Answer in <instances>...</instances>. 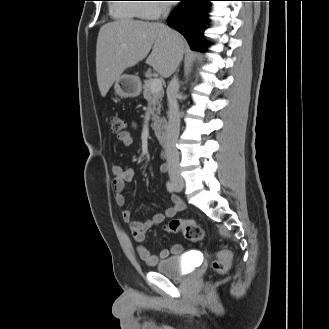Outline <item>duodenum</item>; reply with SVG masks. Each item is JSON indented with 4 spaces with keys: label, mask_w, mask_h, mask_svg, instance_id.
<instances>
[{
    "label": "duodenum",
    "mask_w": 329,
    "mask_h": 329,
    "mask_svg": "<svg viewBox=\"0 0 329 329\" xmlns=\"http://www.w3.org/2000/svg\"><path fill=\"white\" fill-rule=\"evenodd\" d=\"M152 129L159 140V142L167 146L168 138H167V124L162 118L155 119L152 124Z\"/></svg>",
    "instance_id": "410a0bca"
}]
</instances>
